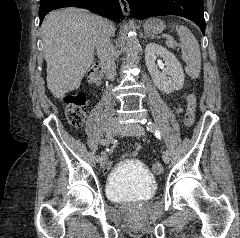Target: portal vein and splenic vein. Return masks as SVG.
<instances>
[{
  "label": "portal vein and splenic vein",
  "instance_id": "obj_1",
  "mask_svg": "<svg viewBox=\"0 0 240 238\" xmlns=\"http://www.w3.org/2000/svg\"><path fill=\"white\" fill-rule=\"evenodd\" d=\"M166 44H167L168 47H173V42H172L171 39H168Z\"/></svg>",
  "mask_w": 240,
  "mask_h": 238
}]
</instances>
